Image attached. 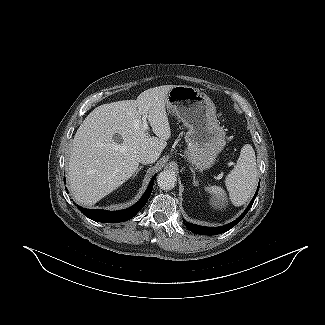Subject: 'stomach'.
Returning <instances> with one entry per match:
<instances>
[{
  "label": "stomach",
  "instance_id": "stomach-1",
  "mask_svg": "<svg viewBox=\"0 0 325 325\" xmlns=\"http://www.w3.org/2000/svg\"><path fill=\"white\" fill-rule=\"evenodd\" d=\"M166 106L188 128L184 157L200 170L210 168L226 145L213 101L197 88L176 85L168 92Z\"/></svg>",
  "mask_w": 325,
  "mask_h": 325
}]
</instances>
